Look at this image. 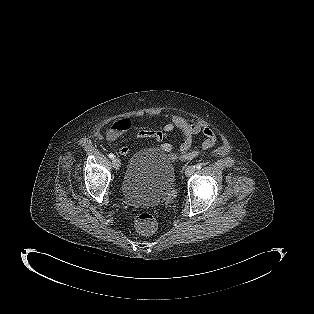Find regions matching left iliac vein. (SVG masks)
Instances as JSON below:
<instances>
[{"label": "left iliac vein", "mask_w": 314, "mask_h": 314, "mask_svg": "<svg viewBox=\"0 0 314 314\" xmlns=\"http://www.w3.org/2000/svg\"><path fill=\"white\" fill-rule=\"evenodd\" d=\"M195 166H192V165H190V166H188L187 168H186V170H185V175L186 176H191L194 172H195Z\"/></svg>", "instance_id": "left-iliac-vein-1"}]
</instances>
